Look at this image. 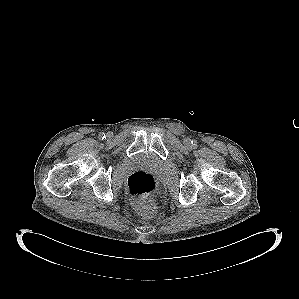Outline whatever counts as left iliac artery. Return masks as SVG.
I'll use <instances>...</instances> for the list:
<instances>
[{
  "instance_id": "1",
  "label": "left iliac artery",
  "mask_w": 299,
  "mask_h": 299,
  "mask_svg": "<svg viewBox=\"0 0 299 299\" xmlns=\"http://www.w3.org/2000/svg\"><path fill=\"white\" fill-rule=\"evenodd\" d=\"M192 142V145L195 147V146H197V141H195V140H193V141H191Z\"/></svg>"
}]
</instances>
